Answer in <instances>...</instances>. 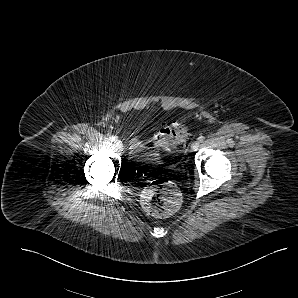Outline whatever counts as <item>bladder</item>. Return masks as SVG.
<instances>
[{"instance_id": "obj_1", "label": "bladder", "mask_w": 298, "mask_h": 298, "mask_svg": "<svg viewBox=\"0 0 298 298\" xmlns=\"http://www.w3.org/2000/svg\"><path fill=\"white\" fill-rule=\"evenodd\" d=\"M129 151L131 157L137 160L150 161L157 157L148 141L138 132H134L130 139Z\"/></svg>"}]
</instances>
